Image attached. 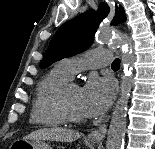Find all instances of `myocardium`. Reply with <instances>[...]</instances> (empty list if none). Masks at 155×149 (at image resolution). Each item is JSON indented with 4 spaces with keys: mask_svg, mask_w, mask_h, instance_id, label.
Here are the masks:
<instances>
[{
    "mask_svg": "<svg viewBox=\"0 0 155 149\" xmlns=\"http://www.w3.org/2000/svg\"><path fill=\"white\" fill-rule=\"evenodd\" d=\"M73 85H74L73 83L68 82L61 88L59 93V106L66 120L72 123H82L86 120L85 116L77 115L72 110L67 100V92L69 88Z\"/></svg>",
    "mask_w": 155,
    "mask_h": 149,
    "instance_id": "f54148a6",
    "label": "myocardium"
}]
</instances>
